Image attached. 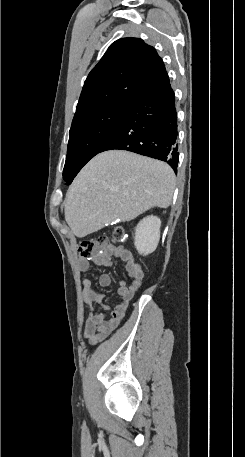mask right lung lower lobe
<instances>
[{"label": "right lung lower lobe", "instance_id": "obj_1", "mask_svg": "<svg viewBox=\"0 0 245 457\" xmlns=\"http://www.w3.org/2000/svg\"><path fill=\"white\" fill-rule=\"evenodd\" d=\"M177 139L175 95L168 79L144 92L131 105L100 152L127 150L165 161L176 171Z\"/></svg>", "mask_w": 245, "mask_h": 457}]
</instances>
